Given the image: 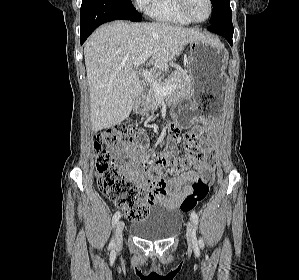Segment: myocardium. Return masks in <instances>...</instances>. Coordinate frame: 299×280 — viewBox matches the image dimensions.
<instances>
[{
	"label": "myocardium",
	"mask_w": 299,
	"mask_h": 280,
	"mask_svg": "<svg viewBox=\"0 0 299 280\" xmlns=\"http://www.w3.org/2000/svg\"><path fill=\"white\" fill-rule=\"evenodd\" d=\"M178 1V7L181 11V13L191 22V23H196V24H201V23H205L206 21H208L213 13V4L211 0H206L208 3V7H209V12L207 17L204 20H196L190 13L189 8H188V3L189 0H177Z\"/></svg>",
	"instance_id": "1"
}]
</instances>
